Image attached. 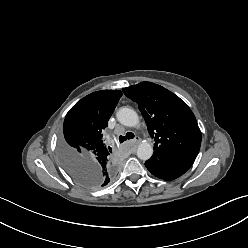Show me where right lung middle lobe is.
<instances>
[{
  "label": "right lung middle lobe",
  "instance_id": "dd1d6c3e",
  "mask_svg": "<svg viewBox=\"0 0 248 248\" xmlns=\"http://www.w3.org/2000/svg\"><path fill=\"white\" fill-rule=\"evenodd\" d=\"M62 151L63 141H61L60 145V152ZM61 160L68 174L79 184L89 187L95 184L94 179L98 177V173L96 170L89 168L86 161L80 157L73 156L69 159L68 163V159H66L62 154Z\"/></svg>",
  "mask_w": 248,
  "mask_h": 248
}]
</instances>
